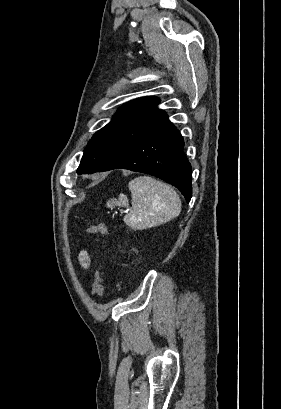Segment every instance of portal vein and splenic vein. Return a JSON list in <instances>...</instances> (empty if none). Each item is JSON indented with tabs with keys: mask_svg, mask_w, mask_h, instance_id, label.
Masks as SVG:
<instances>
[{
	"mask_svg": "<svg viewBox=\"0 0 281 409\" xmlns=\"http://www.w3.org/2000/svg\"><path fill=\"white\" fill-rule=\"evenodd\" d=\"M120 213H121V214H126V213H127V210H126V209H121V210H120Z\"/></svg>",
	"mask_w": 281,
	"mask_h": 409,
	"instance_id": "obj_1",
	"label": "portal vein and splenic vein"
}]
</instances>
